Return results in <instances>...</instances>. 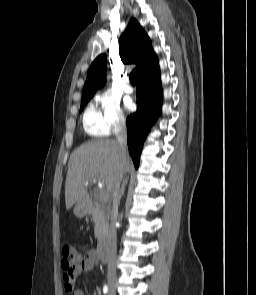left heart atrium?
Here are the masks:
<instances>
[{
  "instance_id": "1",
  "label": "left heart atrium",
  "mask_w": 256,
  "mask_h": 295,
  "mask_svg": "<svg viewBox=\"0 0 256 295\" xmlns=\"http://www.w3.org/2000/svg\"><path fill=\"white\" fill-rule=\"evenodd\" d=\"M125 106H126L127 109H132L133 108V102L130 99H128L125 102Z\"/></svg>"
}]
</instances>
